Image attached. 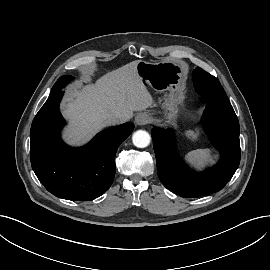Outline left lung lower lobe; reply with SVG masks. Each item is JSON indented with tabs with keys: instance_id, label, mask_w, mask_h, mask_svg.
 <instances>
[{
	"instance_id": "1",
	"label": "left lung lower lobe",
	"mask_w": 270,
	"mask_h": 270,
	"mask_svg": "<svg viewBox=\"0 0 270 270\" xmlns=\"http://www.w3.org/2000/svg\"><path fill=\"white\" fill-rule=\"evenodd\" d=\"M201 123L221 152L217 165L203 173H193L186 165L175 161L177 154L172 132L158 127L151 132L159 178L167 189L181 197L195 198L220 191L240 163V129L232 105L207 102Z\"/></svg>"
}]
</instances>
